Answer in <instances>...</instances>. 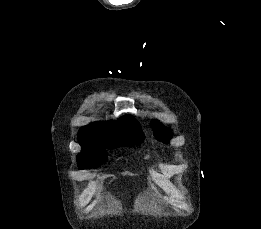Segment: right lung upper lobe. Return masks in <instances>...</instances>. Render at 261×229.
Returning a JSON list of instances; mask_svg holds the SVG:
<instances>
[{"instance_id":"cb5924a9","label":"right lung upper lobe","mask_w":261,"mask_h":229,"mask_svg":"<svg viewBox=\"0 0 261 229\" xmlns=\"http://www.w3.org/2000/svg\"><path fill=\"white\" fill-rule=\"evenodd\" d=\"M139 125L130 115H125L117 121L96 122L80 129L78 134L82 149H112L127 144L120 131L122 128Z\"/></svg>"}]
</instances>
